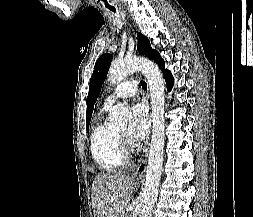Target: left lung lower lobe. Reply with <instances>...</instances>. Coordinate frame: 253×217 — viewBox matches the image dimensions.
<instances>
[{"label":"left lung lower lobe","mask_w":253,"mask_h":217,"mask_svg":"<svg viewBox=\"0 0 253 217\" xmlns=\"http://www.w3.org/2000/svg\"><path fill=\"white\" fill-rule=\"evenodd\" d=\"M158 65H159V67L161 68V70L164 73V77H165V80H166V83H167V88L170 91L172 89V87H173V84H174L173 76H172V74H171L170 71H168V70L165 69V63H164V61L161 62V63H159Z\"/></svg>","instance_id":"0a47b994"}]
</instances>
